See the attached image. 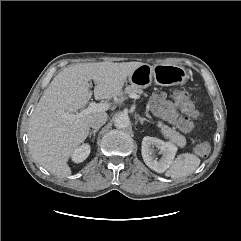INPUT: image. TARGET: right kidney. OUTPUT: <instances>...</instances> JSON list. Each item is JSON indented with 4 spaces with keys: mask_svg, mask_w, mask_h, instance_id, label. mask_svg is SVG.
I'll return each mask as SVG.
<instances>
[{
    "mask_svg": "<svg viewBox=\"0 0 241 241\" xmlns=\"http://www.w3.org/2000/svg\"><path fill=\"white\" fill-rule=\"evenodd\" d=\"M89 154H90V145L83 144L74 150L72 154V160L75 163L83 162L88 157Z\"/></svg>",
    "mask_w": 241,
    "mask_h": 241,
    "instance_id": "1",
    "label": "right kidney"
}]
</instances>
